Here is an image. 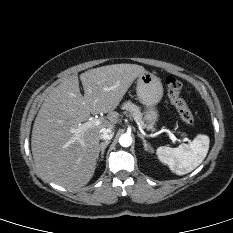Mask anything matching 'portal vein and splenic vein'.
Here are the masks:
<instances>
[{"label": "portal vein and splenic vein", "mask_w": 233, "mask_h": 233, "mask_svg": "<svg viewBox=\"0 0 233 233\" xmlns=\"http://www.w3.org/2000/svg\"><path fill=\"white\" fill-rule=\"evenodd\" d=\"M101 119H97V118H93L90 119L89 121H87L86 123L80 124L79 127L75 130H73V132L76 133L77 139L80 140V133L86 131L87 129L99 125L101 124ZM168 135L170 137V139L172 140L173 143H175L178 139L175 137L174 134H172L171 132H168Z\"/></svg>", "instance_id": "portal-vein-and-splenic-vein-1"}]
</instances>
